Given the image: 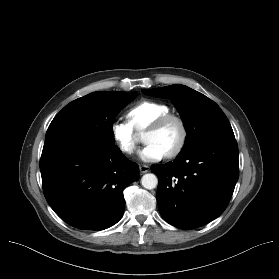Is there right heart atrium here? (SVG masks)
I'll use <instances>...</instances> for the list:
<instances>
[{"mask_svg": "<svg viewBox=\"0 0 279 279\" xmlns=\"http://www.w3.org/2000/svg\"><path fill=\"white\" fill-rule=\"evenodd\" d=\"M111 136L122 153L130 155L135 152L138 146V139L133 128L128 123L122 121L113 122Z\"/></svg>", "mask_w": 279, "mask_h": 279, "instance_id": "right-heart-atrium-1", "label": "right heart atrium"}]
</instances>
